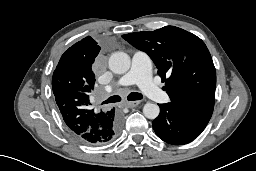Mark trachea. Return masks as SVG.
<instances>
[{
  "mask_svg": "<svg viewBox=\"0 0 256 171\" xmlns=\"http://www.w3.org/2000/svg\"><path fill=\"white\" fill-rule=\"evenodd\" d=\"M143 98V95L141 93L138 92H132L128 95L127 99L129 101H135V100H140ZM121 101V97L118 95H114L109 97L106 101H104V104H108V103H115V102H119Z\"/></svg>",
  "mask_w": 256,
  "mask_h": 171,
  "instance_id": "trachea-1",
  "label": "trachea"
}]
</instances>
